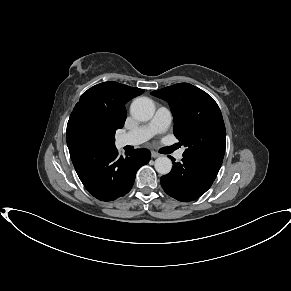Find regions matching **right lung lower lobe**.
<instances>
[{
  "mask_svg": "<svg viewBox=\"0 0 291 291\" xmlns=\"http://www.w3.org/2000/svg\"><path fill=\"white\" fill-rule=\"evenodd\" d=\"M67 145L84 187L101 201H112L127 194L137 170L151 157L147 149H136L123 157L115 146H101L82 139H67Z\"/></svg>",
  "mask_w": 291,
  "mask_h": 291,
  "instance_id": "right-lung-lower-lobe-1",
  "label": "right lung lower lobe"
}]
</instances>
